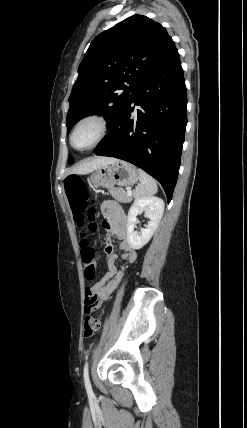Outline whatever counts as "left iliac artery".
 I'll return each instance as SVG.
<instances>
[{
    "mask_svg": "<svg viewBox=\"0 0 247 428\" xmlns=\"http://www.w3.org/2000/svg\"><path fill=\"white\" fill-rule=\"evenodd\" d=\"M84 383L88 394H92V388L89 380V373H88V362H86L84 366Z\"/></svg>",
    "mask_w": 247,
    "mask_h": 428,
    "instance_id": "1",
    "label": "left iliac artery"
}]
</instances>
